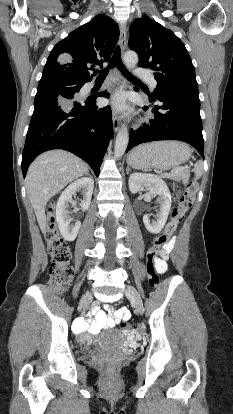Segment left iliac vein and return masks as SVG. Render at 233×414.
<instances>
[{
    "mask_svg": "<svg viewBox=\"0 0 233 414\" xmlns=\"http://www.w3.org/2000/svg\"><path fill=\"white\" fill-rule=\"evenodd\" d=\"M125 294L127 298L131 301V303L134 305L136 311L139 314H142L144 310L143 303L137 290L133 286H127Z\"/></svg>",
    "mask_w": 233,
    "mask_h": 414,
    "instance_id": "left-iliac-vein-1",
    "label": "left iliac vein"
}]
</instances>
